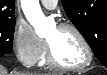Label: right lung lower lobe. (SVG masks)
Here are the masks:
<instances>
[{"label":"right lung lower lobe","instance_id":"obj_1","mask_svg":"<svg viewBox=\"0 0 107 75\" xmlns=\"http://www.w3.org/2000/svg\"><path fill=\"white\" fill-rule=\"evenodd\" d=\"M4 55H6V54H1V53H0V57H2V56H4Z\"/></svg>","mask_w":107,"mask_h":75}]
</instances>
